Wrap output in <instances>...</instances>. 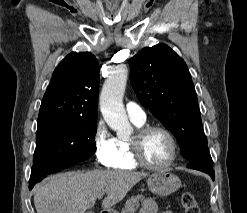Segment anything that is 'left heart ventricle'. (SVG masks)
<instances>
[{"label": "left heart ventricle", "mask_w": 247, "mask_h": 213, "mask_svg": "<svg viewBox=\"0 0 247 213\" xmlns=\"http://www.w3.org/2000/svg\"><path fill=\"white\" fill-rule=\"evenodd\" d=\"M141 151L147 162L154 165H162L170 157L171 146L164 133L152 131L144 137Z\"/></svg>", "instance_id": "obj_1"}]
</instances>
